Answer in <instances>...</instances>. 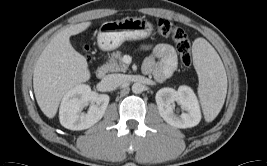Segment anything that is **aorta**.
Here are the masks:
<instances>
[{
    "instance_id": "obj_1",
    "label": "aorta",
    "mask_w": 267,
    "mask_h": 166,
    "mask_svg": "<svg viewBox=\"0 0 267 166\" xmlns=\"http://www.w3.org/2000/svg\"><path fill=\"white\" fill-rule=\"evenodd\" d=\"M132 92L135 94H139L143 92V85L141 83H134L132 85Z\"/></svg>"
}]
</instances>
